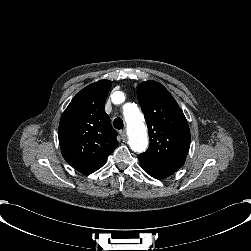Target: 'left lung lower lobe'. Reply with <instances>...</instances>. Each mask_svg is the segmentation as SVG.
<instances>
[{
  "label": "left lung lower lobe",
  "mask_w": 251,
  "mask_h": 251,
  "mask_svg": "<svg viewBox=\"0 0 251 251\" xmlns=\"http://www.w3.org/2000/svg\"><path fill=\"white\" fill-rule=\"evenodd\" d=\"M138 158L140 161V165L144 169V171H146L150 176L156 179H163L174 174V171L172 170L157 166L153 162L142 159L141 157Z\"/></svg>",
  "instance_id": "obj_1"
}]
</instances>
